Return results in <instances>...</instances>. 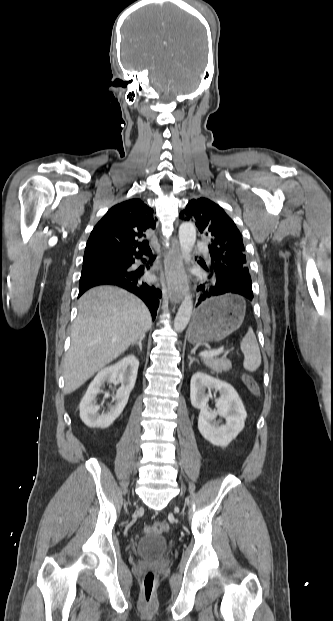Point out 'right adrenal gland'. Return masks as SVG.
Instances as JSON below:
<instances>
[{"mask_svg": "<svg viewBox=\"0 0 333 621\" xmlns=\"http://www.w3.org/2000/svg\"><path fill=\"white\" fill-rule=\"evenodd\" d=\"M144 338H145V334H144L143 336H141V337L139 338V340H137L136 342H134L131 346L138 345V346H139L140 351L142 352V341L144 340Z\"/></svg>", "mask_w": 333, "mask_h": 621, "instance_id": "obj_1", "label": "right adrenal gland"}]
</instances>
